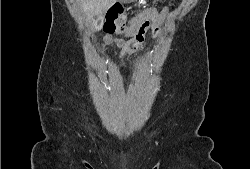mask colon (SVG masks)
<instances>
[{"label":"colon","instance_id":"colon-1","mask_svg":"<svg viewBox=\"0 0 250 169\" xmlns=\"http://www.w3.org/2000/svg\"><path fill=\"white\" fill-rule=\"evenodd\" d=\"M139 22L134 31L133 41L127 45V50L130 53H136L146 37L147 31L150 29V34L153 37H158L161 34V29L158 26L151 27V24L144 16H139ZM127 14L122 7H112L108 10L103 24V30L107 34L122 33L126 27Z\"/></svg>","mask_w":250,"mask_h":169}]
</instances>
